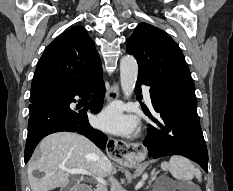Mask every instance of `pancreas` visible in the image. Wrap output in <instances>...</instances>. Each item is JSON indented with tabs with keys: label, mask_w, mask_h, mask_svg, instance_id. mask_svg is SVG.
<instances>
[{
	"label": "pancreas",
	"mask_w": 233,
	"mask_h": 191,
	"mask_svg": "<svg viewBox=\"0 0 233 191\" xmlns=\"http://www.w3.org/2000/svg\"><path fill=\"white\" fill-rule=\"evenodd\" d=\"M95 191H107L104 187H99Z\"/></svg>",
	"instance_id": "1"
}]
</instances>
